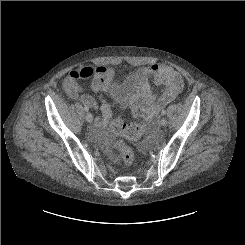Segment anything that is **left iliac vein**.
Wrapping results in <instances>:
<instances>
[{
    "instance_id": "left-iliac-vein-1",
    "label": "left iliac vein",
    "mask_w": 245,
    "mask_h": 245,
    "mask_svg": "<svg viewBox=\"0 0 245 245\" xmlns=\"http://www.w3.org/2000/svg\"><path fill=\"white\" fill-rule=\"evenodd\" d=\"M159 124L163 127L167 126L168 122L165 118H162L160 121H159Z\"/></svg>"
}]
</instances>
